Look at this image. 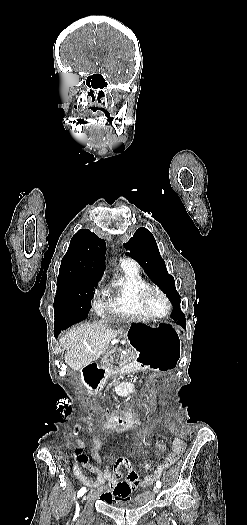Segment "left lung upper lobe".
Returning <instances> with one entry per match:
<instances>
[{"mask_svg": "<svg viewBox=\"0 0 247 525\" xmlns=\"http://www.w3.org/2000/svg\"><path fill=\"white\" fill-rule=\"evenodd\" d=\"M128 251L126 255L135 259L145 270L152 281L166 293L173 303L172 318L178 324L185 325V315L180 309V295L175 289L174 278L168 274L164 260L161 258L156 240L144 227L139 228L134 236L123 244Z\"/></svg>", "mask_w": 247, "mask_h": 525, "instance_id": "left-lung-upper-lobe-1", "label": "left lung upper lobe"}]
</instances>
